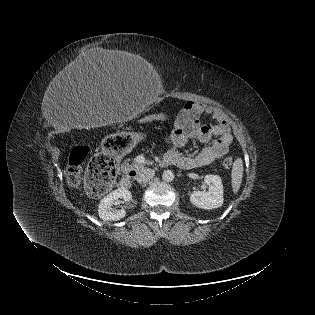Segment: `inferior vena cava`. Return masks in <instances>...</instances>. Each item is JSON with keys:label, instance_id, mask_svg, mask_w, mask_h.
<instances>
[{"label": "inferior vena cava", "instance_id": "1", "mask_svg": "<svg viewBox=\"0 0 315 315\" xmlns=\"http://www.w3.org/2000/svg\"><path fill=\"white\" fill-rule=\"evenodd\" d=\"M154 175L155 171L153 169L150 168L142 169L137 176V181L139 183L148 182L150 179L154 177Z\"/></svg>", "mask_w": 315, "mask_h": 315}]
</instances>
